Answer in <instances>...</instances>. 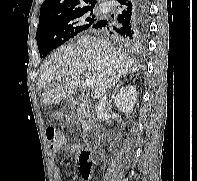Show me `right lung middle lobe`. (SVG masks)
Listing matches in <instances>:
<instances>
[{
	"label": "right lung middle lobe",
	"instance_id": "1",
	"mask_svg": "<svg viewBox=\"0 0 197 181\" xmlns=\"http://www.w3.org/2000/svg\"><path fill=\"white\" fill-rule=\"evenodd\" d=\"M93 6L40 20L36 33L40 57H46L51 50L69 41L79 32L92 28L98 21L93 14Z\"/></svg>",
	"mask_w": 197,
	"mask_h": 181
}]
</instances>
